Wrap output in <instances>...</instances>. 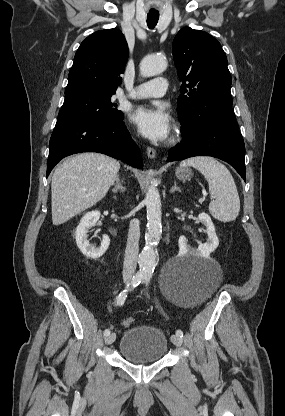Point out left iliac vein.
I'll list each match as a JSON object with an SVG mask.
<instances>
[{"instance_id":"obj_1","label":"left iliac vein","mask_w":285,"mask_h":416,"mask_svg":"<svg viewBox=\"0 0 285 416\" xmlns=\"http://www.w3.org/2000/svg\"><path fill=\"white\" fill-rule=\"evenodd\" d=\"M171 341L175 346H181L182 345V339L178 335H172Z\"/></svg>"}]
</instances>
